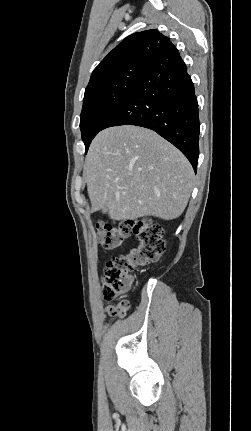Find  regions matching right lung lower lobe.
Listing matches in <instances>:
<instances>
[{
    "label": "right lung lower lobe",
    "mask_w": 251,
    "mask_h": 431,
    "mask_svg": "<svg viewBox=\"0 0 251 431\" xmlns=\"http://www.w3.org/2000/svg\"><path fill=\"white\" fill-rule=\"evenodd\" d=\"M136 125L154 130L176 146L195 172L199 155V117L194 84L179 52L151 54L134 89L107 119L103 129Z\"/></svg>",
    "instance_id": "98d812e1"
}]
</instances>
